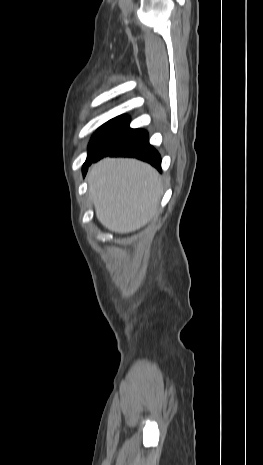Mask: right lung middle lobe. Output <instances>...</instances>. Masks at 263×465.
<instances>
[{"mask_svg": "<svg viewBox=\"0 0 263 465\" xmlns=\"http://www.w3.org/2000/svg\"><path fill=\"white\" fill-rule=\"evenodd\" d=\"M124 119V115L118 116L114 119H111L98 129V131L92 137L91 142L89 144V153L87 160L91 159L97 153L105 139Z\"/></svg>", "mask_w": 263, "mask_h": 465, "instance_id": "right-lung-middle-lobe-1", "label": "right lung middle lobe"}]
</instances>
